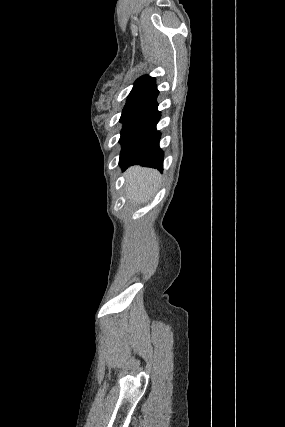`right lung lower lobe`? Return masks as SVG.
<instances>
[{
	"label": "right lung lower lobe",
	"instance_id": "1",
	"mask_svg": "<svg viewBox=\"0 0 285 427\" xmlns=\"http://www.w3.org/2000/svg\"><path fill=\"white\" fill-rule=\"evenodd\" d=\"M160 117L161 114L157 108L147 115L144 122L142 144L133 159L122 166L123 170L129 165H141L163 170L164 153L159 147L161 134L156 129Z\"/></svg>",
	"mask_w": 285,
	"mask_h": 427
}]
</instances>
